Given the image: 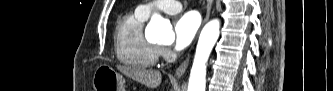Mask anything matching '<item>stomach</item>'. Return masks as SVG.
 <instances>
[{
  "instance_id": "1",
  "label": "stomach",
  "mask_w": 333,
  "mask_h": 91,
  "mask_svg": "<svg viewBox=\"0 0 333 91\" xmlns=\"http://www.w3.org/2000/svg\"><path fill=\"white\" fill-rule=\"evenodd\" d=\"M94 91H125L121 74L108 65H100L93 77Z\"/></svg>"
}]
</instances>
